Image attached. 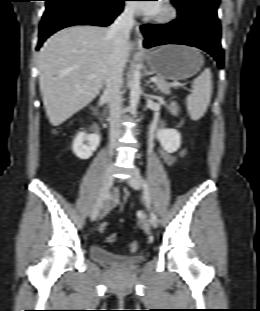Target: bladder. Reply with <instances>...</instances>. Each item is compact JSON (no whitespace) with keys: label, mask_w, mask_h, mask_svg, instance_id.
Segmentation results:
<instances>
[{"label":"bladder","mask_w":260,"mask_h":311,"mask_svg":"<svg viewBox=\"0 0 260 311\" xmlns=\"http://www.w3.org/2000/svg\"><path fill=\"white\" fill-rule=\"evenodd\" d=\"M89 254L93 261L107 266H134L140 264L144 260L142 255L122 256L97 245L90 247Z\"/></svg>","instance_id":"bladder-1"}]
</instances>
